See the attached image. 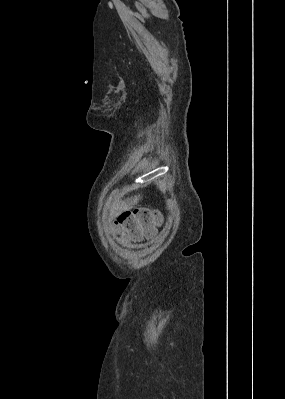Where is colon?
<instances>
[{"label":"colon","instance_id":"1","mask_svg":"<svg viewBox=\"0 0 285 399\" xmlns=\"http://www.w3.org/2000/svg\"><path fill=\"white\" fill-rule=\"evenodd\" d=\"M162 224L160 212L136 209L120 214L113 223V231L116 237L134 243L152 234Z\"/></svg>","mask_w":285,"mask_h":399}]
</instances>
